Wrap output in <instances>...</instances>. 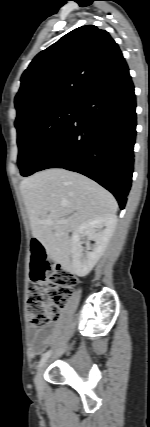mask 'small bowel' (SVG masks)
<instances>
[{"label":"small bowel","instance_id":"obj_1","mask_svg":"<svg viewBox=\"0 0 150 427\" xmlns=\"http://www.w3.org/2000/svg\"><path fill=\"white\" fill-rule=\"evenodd\" d=\"M54 332L53 327L31 328L29 330V349L32 355L41 354L48 346Z\"/></svg>","mask_w":150,"mask_h":427}]
</instances>
